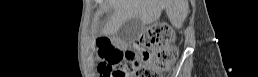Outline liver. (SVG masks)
Masks as SVG:
<instances>
[{
  "mask_svg": "<svg viewBox=\"0 0 258 77\" xmlns=\"http://www.w3.org/2000/svg\"><path fill=\"white\" fill-rule=\"evenodd\" d=\"M113 8L111 20L107 26L110 32L117 31L121 25L134 17L141 19L143 25L157 21L163 9H170L168 16L175 25L181 24L188 10V0H110Z\"/></svg>",
  "mask_w": 258,
  "mask_h": 77,
  "instance_id": "1",
  "label": "liver"
}]
</instances>
